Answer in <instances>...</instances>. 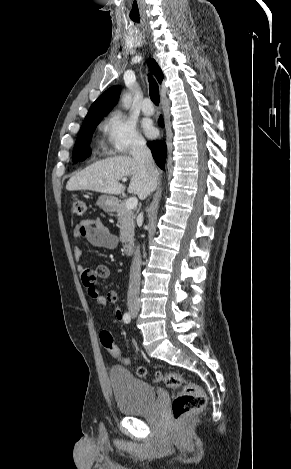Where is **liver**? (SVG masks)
I'll use <instances>...</instances> for the list:
<instances>
[{"mask_svg": "<svg viewBox=\"0 0 291 469\" xmlns=\"http://www.w3.org/2000/svg\"><path fill=\"white\" fill-rule=\"evenodd\" d=\"M127 177H131L128 192L144 200L157 185L158 170L155 167L148 170L131 156H115L91 164L71 177L66 189L119 195L125 190V186L119 181Z\"/></svg>", "mask_w": 291, "mask_h": 469, "instance_id": "1", "label": "liver"}]
</instances>
